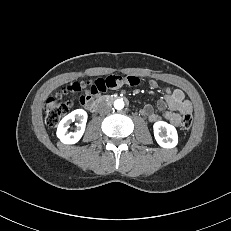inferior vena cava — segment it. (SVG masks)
Here are the masks:
<instances>
[{"label": "inferior vena cava", "instance_id": "inferior-vena-cava-1", "mask_svg": "<svg viewBox=\"0 0 231 231\" xmlns=\"http://www.w3.org/2000/svg\"><path fill=\"white\" fill-rule=\"evenodd\" d=\"M111 109H112L111 103L106 102V101L100 102L98 107H97L98 112L101 114H106V113L110 112Z\"/></svg>", "mask_w": 231, "mask_h": 231}]
</instances>
